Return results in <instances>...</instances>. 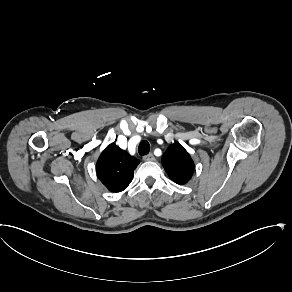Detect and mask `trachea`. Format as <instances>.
I'll return each mask as SVG.
<instances>
[{
	"label": "trachea",
	"mask_w": 292,
	"mask_h": 292,
	"mask_svg": "<svg viewBox=\"0 0 292 292\" xmlns=\"http://www.w3.org/2000/svg\"><path fill=\"white\" fill-rule=\"evenodd\" d=\"M150 151V144L148 141L143 140L138 147V153L140 155H147Z\"/></svg>",
	"instance_id": "1"
}]
</instances>
